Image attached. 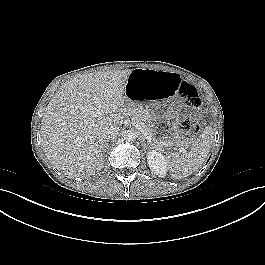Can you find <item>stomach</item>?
<instances>
[{"label": "stomach", "mask_w": 265, "mask_h": 265, "mask_svg": "<svg viewBox=\"0 0 265 265\" xmlns=\"http://www.w3.org/2000/svg\"><path fill=\"white\" fill-rule=\"evenodd\" d=\"M178 81L177 74L154 69H134L128 76L125 97L138 102L137 122L147 147L155 154H169L178 145L176 109L171 101Z\"/></svg>", "instance_id": "obj_1"}]
</instances>
